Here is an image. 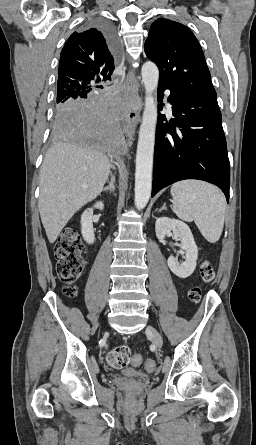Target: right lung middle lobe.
Segmentation results:
<instances>
[{
	"mask_svg": "<svg viewBox=\"0 0 256 445\" xmlns=\"http://www.w3.org/2000/svg\"><path fill=\"white\" fill-rule=\"evenodd\" d=\"M90 94H88V95H85L86 97L87 96H89ZM72 99H76V98H70L68 101H66V100H64V101H59V100H57V103H56V106H55V114H57V113H59L64 107H66L67 105H69L70 103H72ZM54 134L56 135V136H60L61 137V135L60 134H58L55 130H54ZM63 137V136H62Z\"/></svg>",
	"mask_w": 256,
	"mask_h": 445,
	"instance_id": "dd1d6c3e",
	"label": "right lung middle lobe"
}]
</instances>
